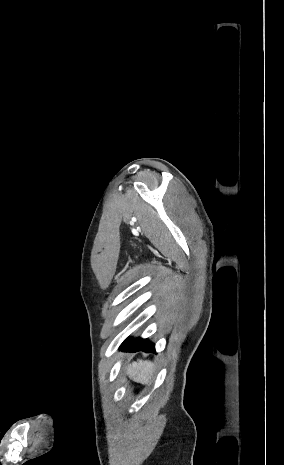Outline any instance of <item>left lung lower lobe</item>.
Instances as JSON below:
<instances>
[{"instance_id":"left-lung-lower-lobe-1","label":"left lung lower lobe","mask_w":284,"mask_h":465,"mask_svg":"<svg viewBox=\"0 0 284 465\" xmlns=\"http://www.w3.org/2000/svg\"><path fill=\"white\" fill-rule=\"evenodd\" d=\"M121 349L129 352H136L140 350L145 352H155L154 344L148 339L142 338L126 339L121 346Z\"/></svg>"}]
</instances>
